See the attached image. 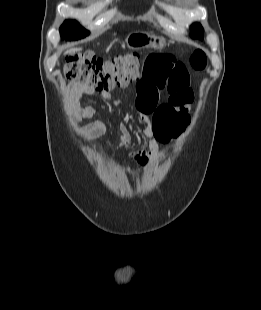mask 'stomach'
<instances>
[{
	"label": "stomach",
	"instance_id": "obj_1",
	"mask_svg": "<svg viewBox=\"0 0 261 310\" xmlns=\"http://www.w3.org/2000/svg\"><path fill=\"white\" fill-rule=\"evenodd\" d=\"M126 42L130 49L151 47L162 50L168 45L164 39L145 32H134L130 34Z\"/></svg>",
	"mask_w": 261,
	"mask_h": 310
}]
</instances>
